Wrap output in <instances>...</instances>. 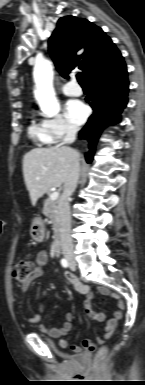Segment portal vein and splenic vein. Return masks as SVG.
Returning <instances> with one entry per match:
<instances>
[{
	"label": "portal vein and splenic vein",
	"instance_id": "obj_1",
	"mask_svg": "<svg viewBox=\"0 0 145 385\" xmlns=\"http://www.w3.org/2000/svg\"><path fill=\"white\" fill-rule=\"evenodd\" d=\"M37 179H39V178H37ZM58 197H59L58 191H54L50 194V200H52V201H55Z\"/></svg>",
	"mask_w": 145,
	"mask_h": 385
}]
</instances>
